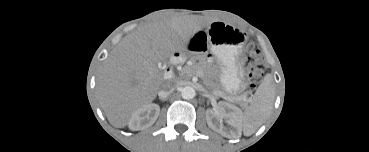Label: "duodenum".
<instances>
[{
  "label": "duodenum",
  "mask_w": 369,
  "mask_h": 152,
  "mask_svg": "<svg viewBox=\"0 0 369 152\" xmlns=\"http://www.w3.org/2000/svg\"><path fill=\"white\" fill-rule=\"evenodd\" d=\"M173 75L172 69L171 68H167V70L165 71V78L166 79H170Z\"/></svg>",
  "instance_id": "duodenum-1"
}]
</instances>
